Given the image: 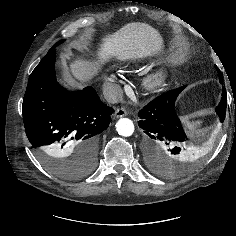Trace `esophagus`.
<instances>
[{"label": "esophagus", "instance_id": "1", "mask_svg": "<svg viewBox=\"0 0 236 236\" xmlns=\"http://www.w3.org/2000/svg\"><path fill=\"white\" fill-rule=\"evenodd\" d=\"M127 115V111L124 108H118L115 110L114 116L120 118Z\"/></svg>", "mask_w": 236, "mask_h": 236}]
</instances>
